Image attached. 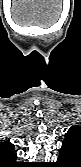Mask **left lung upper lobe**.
I'll use <instances>...</instances> for the list:
<instances>
[{"label": "left lung upper lobe", "instance_id": "5c2ea615", "mask_svg": "<svg viewBox=\"0 0 81 167\" xmlns=\"http://www.w3.org/2000/svg\"><path fill=\"white\" fill-rule=\"evenodd\" d=\"M63 145L69 146L81 156V126L74 125L68 130Z\"/></svg>", "mask_w": 81, "mask_h": 167}]
</instances>
